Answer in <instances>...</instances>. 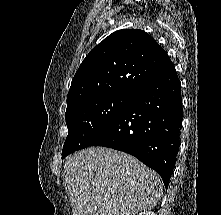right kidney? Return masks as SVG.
<instances>
[{"label":"right kidney","mask_w":221,"mask_h":215,"mask_svg":"<svg viewBox=\"0 0 221 215\" xmlns=\"http://www.w3.org/2000/svg\"><path fill=\"white\" fill-rule=\"evenodd\" d=\"M139 215H156V214L154 212L148 210V211H144V212L139 213Z\"/></svg>","instance_id":"right-kidney-1"}]
</instances>
